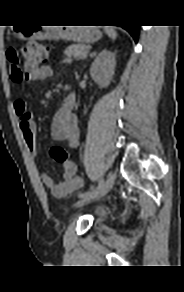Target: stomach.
<instances>
[{
	"label": "stomach",
	"mask_w": 184,
	"mask_h": 292,
	"mask_svg": "<svg viewBox=\"0 0 184 292\" xmlns=\"http://www.w3.org/2000/svg\"><path fill=\"white\" fill-rule=\"evenodd\" d=\"M19 34L24 39H64L82 44L94 42L101 38V32L98 29L91 27H67L66 29L58 28L55 29L53 32L47 33L43 32L40 27H30L20 30Z\"/></svg>",
	"instance_id": "obj_1"
}]
</instances>
